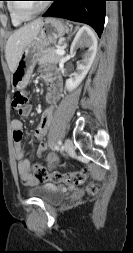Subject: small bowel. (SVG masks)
<instances>
[{
	"label": "small bowel",
	"mask_w": 133,
	"mask_h": 253,
	"mask_svg": "<svg viewBox=\"0 0 133 253\" xmlns=\"http://www.w3.org/2000/svg\"><path fill=\"white\" fill-rule=\"evenodd\" d=\"M42 79L48 84L49 90L46 95V99L49 103V107L43 112L41 121L35 131V135L39 139H43L48 135V130L52 121L53 112L56 102L61 96L62 85L56 74L49 66H42L40 69ZM32 112L31 105H27L20 113L23 117H28ZM11 128L13 132L14 151L17 160V169L19 177L25 185H35L40 181L36 178L34 172L31 170L30 163L25 159V152L22 146L23 138V123L19 119H13L11 121ZM48 149V142L42 140L39 144L37 154L43 158L46 162V168L52 169L59 163V157L55 153L45 154Z\"/></svg>",
	"instance_id": "c3829d8e"
}]
</instances>
